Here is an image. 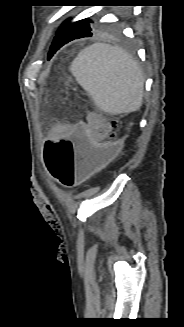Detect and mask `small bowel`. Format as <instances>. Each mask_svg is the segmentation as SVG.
Listing matches in <instances>:
<instances>
[{"mask_svg": "<svg viewBox=\"0 0 184 327\" xmlns=\"http://www.w3.org/2000/svg\"><path fill=\"white\" fill-rule=\"evenodd\" d=\"M76 124H83L82 122H78V123H74V124H62V125H56L55 127H53V129L50 132L49 135V141L50 143H66V142H70L67 138L70 135H74L72 132L75 130L76 131ZM80 133L78 135L81 134V131H79ZM52 135H57L59 136L61 139L57 142H52L51 141V136ZM77 135V134H75ZM95 165H100L103 166L104 164H95Z\"/></svg>", "mask_w": 184, "mask_h": 327, "instance_id": "obj_1", "label": "small bowel"}]
</instances>
